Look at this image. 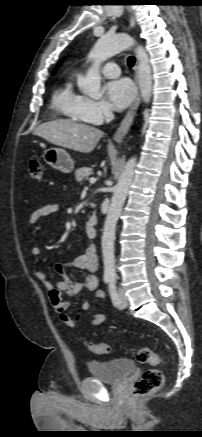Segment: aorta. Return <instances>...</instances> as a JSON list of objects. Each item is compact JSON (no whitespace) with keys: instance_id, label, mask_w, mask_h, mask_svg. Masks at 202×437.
Wrapping results in <instances>:
<instances>
[{"instance_id":"obj_1","label":"aorta","mask_w":202,"mask_h":437,"mask_svg":"<svg viewBox=\"0 0 202 437\" xmlns=\"http://www.w3.org/2000/svg\"><path fill=\"white\" fill-rule=\"evenodd\" d=\"M133 44V38L125 33L116 35L105 34L101 36L89 53L92 64L86 76L78 81L80 90L93 99L101 98L103 95L100 88L101 64L110 57L128 49ZM136 53L139 61L138 82L141 96L145 103H149L152 95V70L149 57L142 46L137 47ZM135 166L136 158L132 157L127 161L119 181L114 187L113 196L105 219L101 244L105 277L115 276L114 241L116 224L133 181Z\"/></svg>"}]
</instances>
